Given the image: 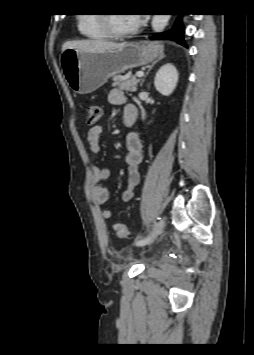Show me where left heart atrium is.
Listing matches in <instances>:
<instances>
[{"mask_svg": "<svg viewBox=\"0 0 254 355\" xmlns=\"http://www.w3.org/2000/svg\"><path fill=\"white\" fill-rule=\"evenodd\" d=\"M132 18H133L134 23L136 25H141L144 18H145V14H134V16Z\"/></svg>", "mask_w": 254, "mask_h": 355, "instance_id": "left-heart-atrium-1", "label": "left heart atrium"}]
</instances>
